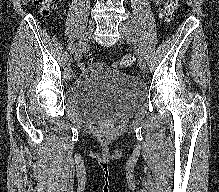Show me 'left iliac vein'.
Wrapping results in <instances>:
<instances>
[{
	"label": "left iliac vein",
	"instance_id": "1",
	"mask_svg": "<svg viewBox=\"0 0 219 192\" xmlns=\"http://www.w3.org/2000/svg\"><path fill=\"white\" fill-rule=\"evenodd\" d=\"M119 32H120V35H121V39L125 40V41L128 40V38L130 36H132V28L127 23H121L119 25ZM138 62H139L140 69L142 71H145V69H146V60H145V57L143 55L138 56Z\"/></svg>",
	"mask_w": 219,
	"mask_h": 192
}]
</instances>
